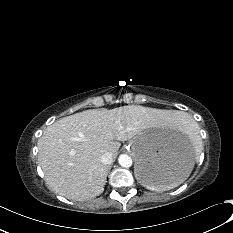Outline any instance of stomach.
<instances>
[{
	"mask_svg": "<svg viewBox=\"0 0 233 233\" xmlns=\"http://www.w3.org/2000/svg\"><path fill=\"white\" fill-rule=\"evenodd\" d=\"M135 175L147 188L169 187L187 177L195 162L191 143L159 128L145 129L130 141Z\"/></svg>",
	"mask_w": 233,
	"mask_h": 233,
	"instance_id": "0dacf381",
	"label": "stomach"
}]
</instances>
